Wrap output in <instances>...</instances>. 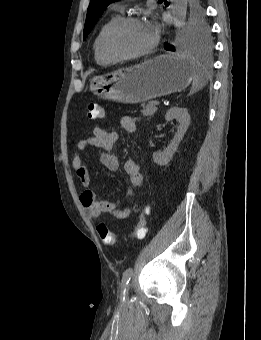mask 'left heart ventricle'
<instances>
[{
	"instance_id": "1",
	"label": "left heart ventricle",
	"mask_w": 261,
	"mask_h": 340,
	"mask_svg": "<svg viewBox=\"0 0 261 340\" xmlns=\"http://www.w3.org/2000/svg\"><path fill=\"white\" fill-rule=\"evenodd\" d=\"M152 32L143 23H131L120 29L111 40V47L121 54H132L146 48Z\"/></svg>"
}]
</instances>
